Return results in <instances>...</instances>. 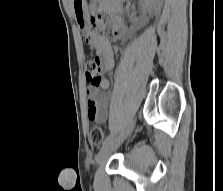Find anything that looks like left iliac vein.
Returning <instances> with one entry per match:
<instances>
[{
  "label": "left iliac vein",
  "instance_id": "1",
  "mask_svg": "<svg viewBox=\"0 0 223 191\" xmlns=\"http://www.w3.org/2000/svg\"><path fill=\"white\" fill-rule=\"evenodd\" d=\"M134 126V121H131L129 125L126 127V129L122 132L120 136H118L115 139H112L110 142H108L106 145H104L96 157V163L98 165L103 164L108 160L112 152L118 148V146L127 138L129 133L131 132L132 128Z\"/></svg>",
  "mask_w": 223,
  "mask_h": 191
}]
</instances>
